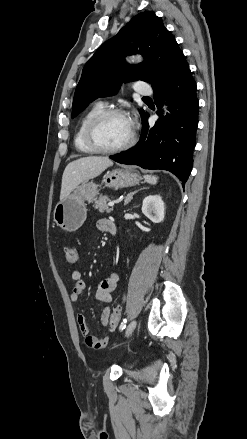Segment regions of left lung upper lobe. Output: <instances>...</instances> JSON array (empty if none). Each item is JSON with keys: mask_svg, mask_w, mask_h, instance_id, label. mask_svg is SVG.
Masks as SVG:
<instances>
[{"mask_svg": "<svg viewBox=\"0 0 247 439\" xmlns=\"http://www.w3.org/2000/svg\"><path fill=\"white\" fill-rule=\"evenodd\" d=\"M137 53L148 60L138 65L124 62L126 55ZM184 58L173 35L153 11L138 14L84 66L74 95L72 117L96 98L117 93L123 81L142 80L153 89L161 86ZM139 112L141 117L147 114Z\"/></svg>", "mask_w": 247, "mask_h": 439, "instance_id": "left-lung-upper-lobe-1", "label": "left lung upper lobe"}]
</instances>
